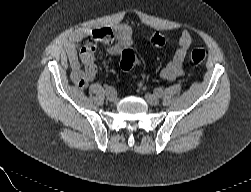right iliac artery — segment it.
<instances>
[{"instance_id":"1","label":"right iliac artery","mask_w":251,"mask_h":192,"mask_svg":"<svg viewBox=\"0 0 251 192\" xmlns=\"http://www.w3.org/2000/svg\"><path fill=\"white\" fill-rule=\"evenodd\" d=\"M111 92H115L114 87H112V86H106L105 87V93H106V95L109 94V93H111Z\"/></svg>"}]
</instances>
